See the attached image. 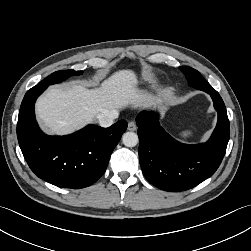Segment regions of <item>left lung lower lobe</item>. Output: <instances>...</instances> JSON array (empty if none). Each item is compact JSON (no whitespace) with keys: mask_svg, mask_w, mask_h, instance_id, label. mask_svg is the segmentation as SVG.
<instances>
[{"mask_svg":"<svg viewBox=\"0 0 251 251\" xmlns=\"http://www.w3.org/2000/svg\"><path fill=\"white\" fill-rule=\"evenodd\" d=\"M197 89L210 94L218 112L216 128L206 143L186 145L176 141L159 125L154 112L144 111L136 118L142 172L151 184L165 191L197 186L215 173L226 152L230 129L225 104L208 82Z\"/></svg>","mask_w":251,"mask_h":251,"instance_id":"1","label":"left lung lower lobe"}]
</instances>
